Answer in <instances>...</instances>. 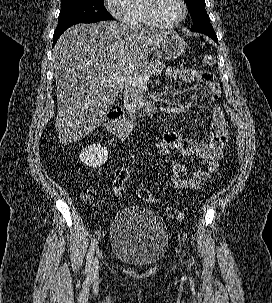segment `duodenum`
<instances>
[{
  "instance_id": "1",
  "label": "duodenum",
  "mask_w": 272,
  "mask_h": 303,
  "mask_svg": "<svg viewBox=\"0 0 272 303\" xmlns=\"http://www.w3.org/2000/svg\"><path fill=\"white\" fill-rule=\"evenodd\" d=\"M147 104L139 110H128L122 101H117L109 110L106 122L107 132L118 140H123L129 133L133 122L141 115L152 111Z\"/></svg>"
}]
</instances>
